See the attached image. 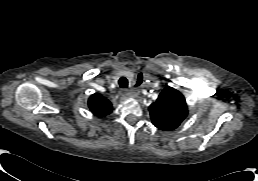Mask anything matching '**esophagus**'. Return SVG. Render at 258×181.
<instances>
[{"mask_svg": "<svg viewBox=\"0 0 258 181\" xmlns=\"http://www.w3.org/2000/svg\"><path fill=\"white\" fill-rule=\"evenodd\" d=\"M126 94L132 96L135 92L133 90H126Z\"/></svg>", "mask_w": 258, "mask_h": 181, "instance_id": "esophagus-1", "label": "esophagus"}]
</instances>
